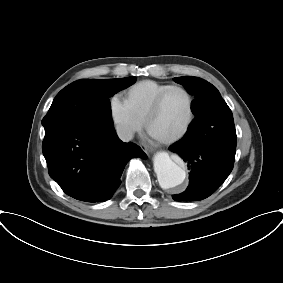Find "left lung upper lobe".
<instances>
[{
	"label": "left lung upper lobe",
	"instance_id": "1",
	"mask_svg": "<svg viewBox=\"0 0 283 283\" xmlns=\"http://www.w3.org/2000/svg\"><path fill=\"white\" fill-rule=\"evenodd\" d=\"M173 80L184 85L187 91L195 96L191 103L195 118L201 111H206L210 116H214L216 108L213 109V113H210L211 109L209 108L213 107L211 102L214 99H223L215 86L201 78L191 76L176 77ZM216 118L220 120L218 124L209 123V130H211L210 133H207L209 140L221 144L236 145L233 115L226 102L222 113L218 114Z\"/></svg>",
	"mask_w": 283,
	"mask_h": 283
}]
</instances>
